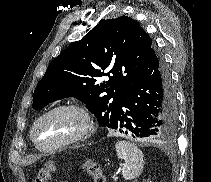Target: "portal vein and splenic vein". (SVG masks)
Here are the masks:
<instances>
[{
	"mask_svg": "<svg viewBox=\"0 0 211 182\" xmlns=\"http://www.w3.org/2000/svg\"><path fill=\"white\" fill-rule=\"evenodd\" d=\"M113 179L116 180L118 179V177L116 175H113Z\"/></svg>",
	"mask_w": 211,
	"mask_h": 182,
	"instance_id": "obj_1",
	"label": "portal vein and splenic vein"
}]
</instances>
